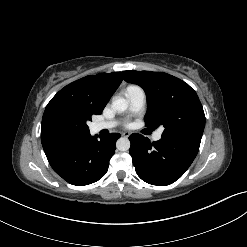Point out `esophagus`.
<instances>
[{
  "label": "esophagus",
  "mask_w": 247,
  "mask_h": 247,
  "mask_svg": "<svg viewBox=\"0 0 247 247\" xmlns=\"http://www.w3.org/2000/svg\"><path fill=\"white\" fill-rule=\"evenodd\" d=\"M130 132H127V131H125V132H122V136H124V137H129L130 136Z\"/></svg>",
  "instance_id": "1"
}]
</instances>
